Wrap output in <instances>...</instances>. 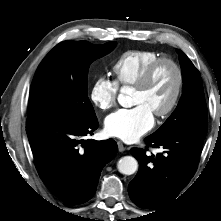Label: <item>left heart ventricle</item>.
<instances>
[{"instance_id": "1", "label": "left heart ventricle", "mask_w": 221, "mask_h": 221, "mask_svg": "<svg viewBox=\"0 0 221 221\" xmlns=\"http://www.w3.org/2000/svg\"><path fill=\"white\" fill-rule=\"evenodd\" d=\"M176 84V73L169 64H163L155 71L143 89L133 90L132 104L145 105L153 114L169 103Z\"/></svg>"}]
</instances>
